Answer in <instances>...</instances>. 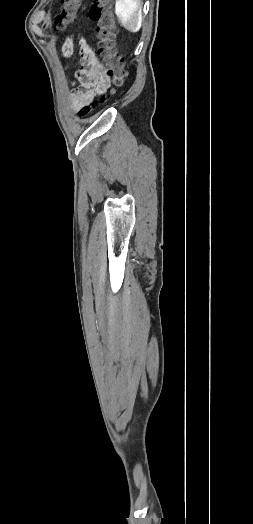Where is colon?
Wrapping results in <instances>:
<instances>
[{
    "label": "colon",
    "mask_w": 253,
    "mask_h": 524,
    "mask_svg": "<svg viewBox=\"0 0 253 524\" xmlns=\"http://www.w3.org/2000/svg\"><path fill=\"white\" fill-rule=\"evenodd\" d=\"M80 0H62L61 8L55 18L57 31L68 28L74 21ZM90 18L97 23L99 55L105 65V75L110 80L112 90L121 88L126 82L124 60L116 47V26L112 14V0H94ZM90 109L83 107L79 116L88 115Z\"/></svg>",
    "instance_id": "obj_1"
}]
</instances>
